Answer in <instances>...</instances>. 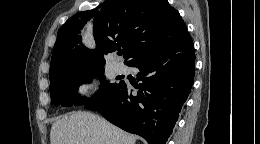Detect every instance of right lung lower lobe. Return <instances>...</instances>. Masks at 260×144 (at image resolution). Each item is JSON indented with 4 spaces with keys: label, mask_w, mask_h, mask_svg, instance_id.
Wrapping results in <instances>:
<instances>
[{
    "label": "right lung lower lobe",
    "mask_w": 260,
    "mask_h": 144,
    "mask_svg": "<svg viewBox=\"0 0 260 144\" xmlns=\"http://www.w3.org/2000/svg\"><path fill=\"white\" fill-rule=\"evenodd\" d=\"M128 66L140 70L133 93L124 81L106 96L85 105L149 144H165L194 83L195 52L187 33L178 42L146 53Z\"/></svg>",
    "instance_id": "1"
}]
</instances>
